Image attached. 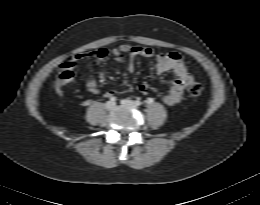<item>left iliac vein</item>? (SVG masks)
Here are the masks:
<instances>
[{
    "label": "left iliac vein",
    "mask_w": 260,
    "mask_h": 205,
    "mask_svg": "<svg viewBox=\"0 0 260 205\" xmlns=\"http://www.w3.org/2000/svg\"><path fill=\"white\" fill-rule=\"evenodd\" d=\"M121 103H122L123 105H128V106L136 107L135 102L132 101V100H129V99H123V100L121 101Z\"/></svg>",
    "instance_id": "4c4485c4"
}]
</instances>
